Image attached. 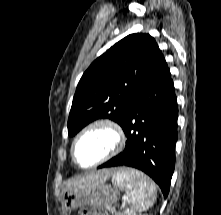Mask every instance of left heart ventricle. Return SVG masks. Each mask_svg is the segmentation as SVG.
Listing matches in <instances>:
<instances>
[{
	"label": "left heart ventricle",
	"mask_w": 221,
	"mask_h": 215,
	"mask_svg": "<svg viewBox=\"0 0 221 215\" xmlns=\"http://www.w3.org/2000/svg\"><path fill=\"white\" fill-rule=\"evenodd\" d=\"M111 143L108 134L102 131H93L85 135L77 144L75 155L79 164L89 165L100 158Z\"/></svg>",
	"instance_id": "b2bd125f"
}]
</instances>
